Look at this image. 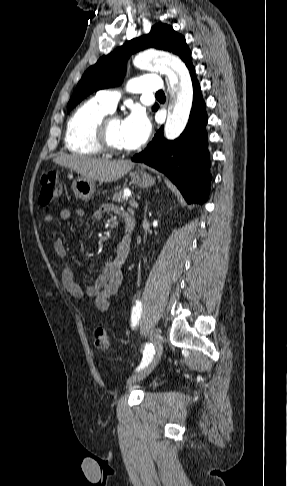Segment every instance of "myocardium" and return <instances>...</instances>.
<instances>
[{"instance_id": "1", "label": "myocardium", "mask_w": 287, "mask_h": 486, "mask_svg": "<svg viewBox=\"0 0 287 486\" xmlns=\"http://www.w3.org/2000/svg\"><path fill=\"white\" fill-rule=\"evenodd\" d=\"M119 119L117 115L107 114L98 123L95 129V142L102 152L110 154H124L127 149H121L111 144L108 136L109 124L112 120Z\"/></svg>"}]
</instances>
